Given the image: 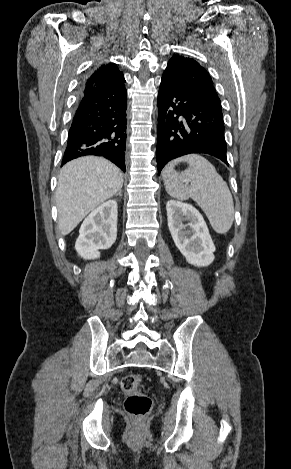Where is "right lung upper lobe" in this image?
<instances>
[{
  "label": "right lung upper lobe",
  "mask_w": 291,
  "mask_h": 469,
  "mask_svg": "<svg viewBox=\"0 0 291 469\" xmlns=\"http://www.w3.org/2000/svg\"><path fill=\"white\" fill-rule=\"evenodd\" d=\"M123 73L114 63L101 65L88 78L85 79L81 94L93 92L98 89H124Z\"/></svg>",
  "instance_id": "1"
}]
</instances>
